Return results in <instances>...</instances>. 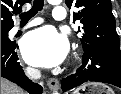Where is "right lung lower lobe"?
I'll use <instances>...</instances> for the list:
<instances>
[{
	"label": "right lung lower lobe",
	"mask_w": 121,
	"mask_h": 94,
	"mask_svg": "<svg viewBox=\"0 0 121 94\" xmlns=\"http://www.w3.org/2000/svg\"><path fill=\"white\" fill-rule=\"evenodd\" d=\"M17 47L15 42H1V77L18 84L31 94H41L43 88L31 82L17 62Z\"/></svg>",
	"instance_id": "obj_1"
}]
</instances>
